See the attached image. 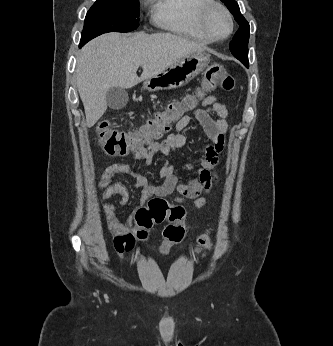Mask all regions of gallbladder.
Instances as JSON below:
<instances>
[{"instance_id":"bac80fb5","label":"gallbladder","mask_w":333,"mask_h":346,"mask_svg":"<svg viewBox=\"0 0 333 346\" xmlns=\"http://www.w3.org/2000/svg\"><path fill=\"white\" fill-rule=\"evenodd\" d=\"M106 102L111 109H122L128 102V93L121 87L110 88L106 93Z\"/></svg>"}]
</instances>
